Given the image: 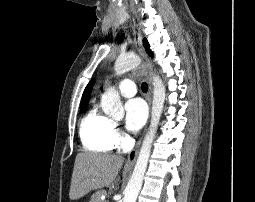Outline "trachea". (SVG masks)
<instances>
[{
    "label": "trachea",
    "instance_id": "1",
    "mask_svg": "<svg viewBox=\"0 0 255 202\" xmlns=\"http://www.w3.org/2000/svg\"><path fill=\"white\" fill-rule=\"evenodd\" d=\"M147 90H148V85H147V83H142V91L143 92H147Z\"/></svg>",
    "mask_w": 255,
    "mask_h": 202
}]
</instances>
